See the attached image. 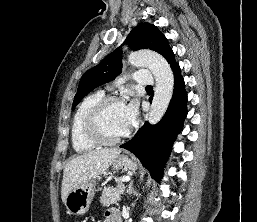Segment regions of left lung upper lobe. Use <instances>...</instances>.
Returning a JSON list of instances; mask_svg holds the SVG:
<instances>
[{
  "instance_id": "left-lung-upper-lobe-1",
  "label": "left lung upper lobe",
  "mask_w": 257,
  "mask_h": 222,
  "mask_svg": "<svg viewBox=\"0 0 257 222\" xmlns=\"http://www.w3.org/2000/svg\"><path fill=\"white\" fill-rule=\"evenodd\" d=\"M125 44H129L133 50L151 49L156 51L165 57L169 64L174 61V54L166 37L156 26L147 22L133 28L125 40ZM119 48L83 74L72 107H75L93 89L114 80L121 72L122 56Z\"/></svg>"
}]
</instances>
